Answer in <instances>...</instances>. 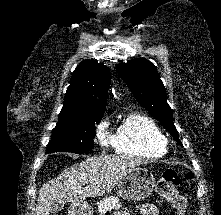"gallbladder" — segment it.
Segmentation results:
<instances>
[{
  "label": "gallbladder",
  "instance_id": "obj_1",
  "mask_svg": "<svg viewBox=\"0 0 221 215\" xmlns=\"http://www.w3.org/2000/svg\"><path fill=\"white\" fill-rule=\"evenodd\" d=\"M64 207V203L63 202H54L52 208H51V212L53 214L59 213L63 210Z\"/></svg>",
  "mask_w": 221,
  "mask_h": 215
}]
</instances>
